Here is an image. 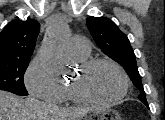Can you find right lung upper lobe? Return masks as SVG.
I'll list each match as a JSON object with an SVG mask.
<instances>
[{
	"mask_svg": "<svg viewBox=\"0 0 165 120\" xmlns=\"http://www.w3.org/2000/svg\"><path fill=\"white\" fill-rule=\"evenodd\" d=\"M39 28L31 18L11 21L0 33V59H30Z\"/></svg>",
	"mask_w": 165,
	"mask_h": 120,
	"instance_id": "1",
	"label": "right lung upper lobe"
}]
</instances>
